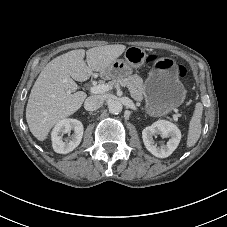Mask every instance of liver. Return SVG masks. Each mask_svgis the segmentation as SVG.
Wrapping results in <instances>:
<instances>
[{
  "label": "liver",
  "instance_id": "6515ba94",
  "mask_svg": "<svg viewBox=\"0 0 227 227\" xmlns=\"http://www.w3.org/2000/svg\"><path fill=\"white\" fill-rule=\"evenodd\" d=\"M125 49L126 46L120 44L94 47L87 51L78 49L50 61L34 83L26 107V120L33 136L44 141L57 123L82 106L87 95L77 91L74 80L86 81L93 71L102 72Z\"/></svg>",
  "mask_w": 227,
  "mask_h": 227
}]
</instances>
